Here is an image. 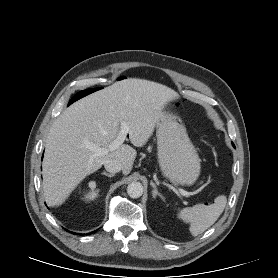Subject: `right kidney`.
Wrapping results in <instances>:
<instances>
[{
    "instance_id": "1",
    "label": "right kidney",
    "mask_w": 278,
    "mask_h": 278,
    "mask_svg": "<svg viewBox=\"0 0 278 278\" xmlns=\"http://www.w3.org/2000/svg\"><path fill=\"white\" fill-rule=\"evenodd\" d=\"M88 186H89L90 190L84 192L83 197H82V199L87 202L94 200L97 197L98 192H99V190L96 189V183L94 181H91Z\"/></svg>"
}]
</instances>
